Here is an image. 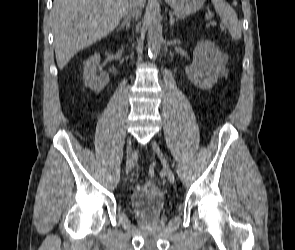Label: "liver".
I'll use <instances>...</instances> for the list:
<instances>
[{
	"label": "liver",
	"mask_w": 295,
	"mask_h": 250,
	"mask_svg": "<svg viewBox=\"0 0 295 250\" xmlns=\"http://www.w3.org/2000/svg\"><path fill=\"white\" fill-rule=\"evenodd\" d=\"M129 0H54L52 27L57 65L63 69L77 52L109 35ZM146 0H141V8Z\"/></svg>",
	"instance_id": "obj_1"
}]
</instances>
